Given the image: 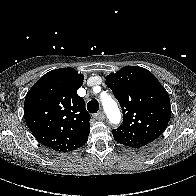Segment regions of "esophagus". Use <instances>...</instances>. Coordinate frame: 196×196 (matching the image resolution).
Returning a JSON list of instances; mask_svg holds the SVG:
<instances>
[{
	"label": "esophagus",
	"instance_id": "1",
	"mask_svg": "<svg viewBox=\"0 0 196 196\" xmlns=\"http://www.w3.org/2000/svg\"><path fill=\"white\" fill-rule=\"evenodd\" d=\"M94 118L96 120H104L105 119V114L103 111L98 112L97 114L94 115Z\"/></svg>",
	"mask_w": 196,
	"mask_h": 196
}]
</instances>
